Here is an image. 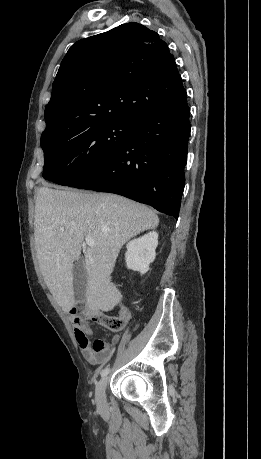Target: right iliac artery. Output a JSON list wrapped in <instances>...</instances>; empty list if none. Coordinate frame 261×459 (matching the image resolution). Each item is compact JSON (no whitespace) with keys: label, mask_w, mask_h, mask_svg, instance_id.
Here are the masks:
<instances>
[{"label":"right iliac artery","mask_w":261,"mask_h":459,"mask_svg":"<svg viewBox=\"0 0 261 459\" xmlns=\"http://www.w3.org/2000/svg\"><path fill=\"white\" fill-rule=\"evenodd\" d=\"M109 371H110V368H108V367L105 368V369H103V370L101 371V376H106V375L109 373Z\"/></svg>","instance_id":"1"}]
</instances>
